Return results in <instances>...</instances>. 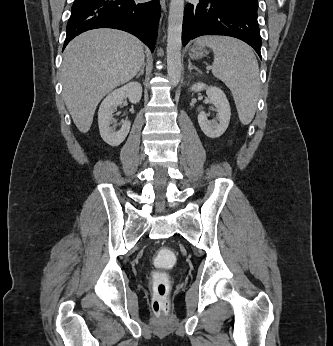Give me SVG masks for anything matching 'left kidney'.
I'll use <instances>...</instances> for the list:
<instances>
[{"label": "left kidney", "instance_id": "left-kidney-1", "mask_svg": "<svg viewBox=\"0 0 333 346\" xmlns=\"http://www.w3.org/2000/svg\"><path fill=\"white\" fill-rule=\"evenodd\" d=\"M193 92L206 90V94L217 110V121H209L205 112L198 115V123L203 133L209 138H218L226 131L230 122L231 109L225 93L218 87L207 86L198 82L190 88Z\"/></svg>", "mask_w": 333, "mask_h": 346}]
</instances>
